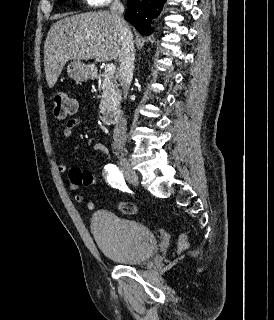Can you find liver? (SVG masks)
Masks as SVG:
<instances>
[{"mask_svg": "<svg viewBox=\"0 0 274 320\" xmlns=\"http://www.w3.org/2000/svg\"><path fill=\"white\" fill-rule=\"evenodd\" d=\"M121 42L111 12L67 16L51 26L44 44V70L49 88L55 86L68 60H120Z\"/></svg>", "mask_w": 274, "mask_h": 320, "instance_id": "obj_1", "label": "liver"}]
</instances>
